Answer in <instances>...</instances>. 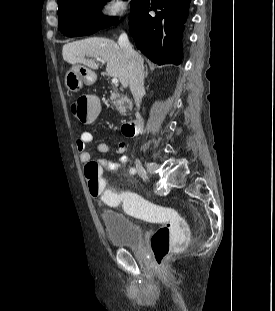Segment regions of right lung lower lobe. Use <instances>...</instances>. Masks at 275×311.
I'll use <instances>...</instances> for the list:
<instances>
[{
  "label": "right lung lower lobe",
  "instance_id": "1",
  "mask_svg": "<svg viewBox=\"0 0 275 311\" xmlns=\"http://www.w3.org/2000/svg\"><path fill=\"white\" fill-rule=\"evenodd\" d=\"M190 0H158L160 9L155 16L149 11L153 6L148 0L130 15L129 28L137 48L154 63L180 64L182 60V37L188 16ZM85 25L78 36L94 33Z\"/></svg>",
  "mask_w": 275,
  "mask_h": 311
}]
</instances>
